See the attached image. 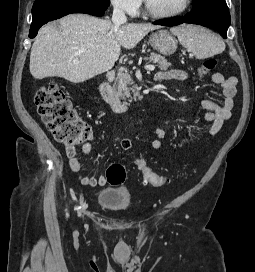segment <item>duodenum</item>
<instances>
[{
  "label": "duodenum",
  "mask_w": 255,
  "mask_h": 272,
  "mask_svg": "<svg viewBox=\"0 0 255 272\" xmlns=\"http://www.w3.org/2000/svg\"><path fill=\"white\" fill-rule=\"evenodd\" d=\"M98 90L105 102L116 113H124L129 106L124 104L121 99L112 91L108 82H101L98 85Z\"/></svg>",
  "instance_id": "duodenum-1"
}]
</instances>
